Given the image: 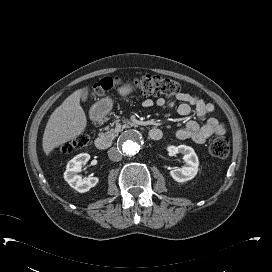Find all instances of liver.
<instances>
[{"instance_id": "6515ba94", "label": "liver", "mask_w": 272, "mask_h": 272, "mask_svg": "<svg viewBox=\"0 0 272 272\" xmlns=\"http://www.w3.org/2000/svg\"><path fill=\"white\" fill-rule=\"evenodd\" d=\"M81 95L82 89L76 90L51 114L42 140L43 151L46 155L85 131L87 118L80 105Z\"/></svg>"}]
</instances>
